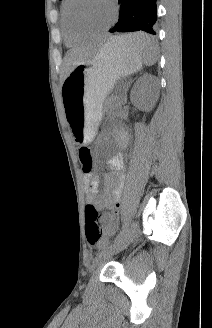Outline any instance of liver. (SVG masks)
I'll return each instance as SVG.
<instances>
[{"label":"liver","mask_w":212,"mask_h":328,"mask_svg":"<svg viewBox=\"0 0 212 328\" xmlns=\"http://www.w3.org/2000/svg\"><path fill=\"white\" fill-rule=\"evenodd\" d=\"M96 51V49L91 47H77L69 50L64 58L65 77H67L77 65L92 59L96 55Z\"/></svg>","instance_id":"6515ba94"}]
</instances>
